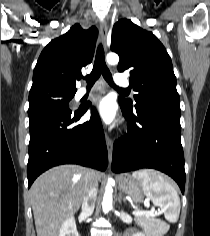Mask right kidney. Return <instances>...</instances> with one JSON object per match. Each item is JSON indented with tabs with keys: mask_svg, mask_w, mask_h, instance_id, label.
Instances as JSON below:
<instances>
[{
	"mask_svg": "<svg viewBox=\"0 0 210 236\" xmlns=\"http://www.w3.org/2000/svg\"><path fill=\"white\" fill-rule=\"evenodd\" d=\"M59 236H79L73 216L63 222Z\"/></svg>",
	"mask_w": 210,
	"mask_h": 236,
	"instance_id": "obj_1",
	"label": "right kidney"
}]
</instances>
